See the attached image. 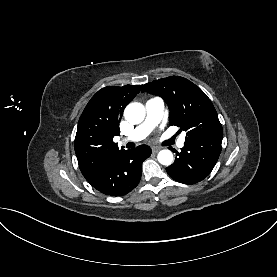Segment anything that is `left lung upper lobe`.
Wrapping results in <instances>:
<instances>
[{
    "label": "left lung upper lobe",
    "instance_id": "1",
    "mask_svg": "<svg viewBox=\"0 0 277 277\" xmlns=\"http://www.w3.org/2000/svg\"><path fill=\"white\" fill-rule=\"evenodd\" d=\"M142 92L162 97L170 109V125L187 132L185 140L222 134L216 110L206 94L191 81L171 76L149 82Z\"/></svg>",
    "mask_w": 277,
    "mask_h": 277
}]
</instances>
